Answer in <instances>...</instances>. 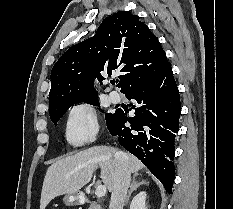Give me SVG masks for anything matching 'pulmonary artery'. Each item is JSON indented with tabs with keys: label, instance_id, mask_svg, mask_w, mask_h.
Returning a JSON list of instances; mask_svg holds the SVG:
<instances>
[{
	"label": "pulmonary artery",
	"instance_id": "e3ab8cb5",
	"mask_svg": "<svg viewBox=\"0 0 233 209\" xmlns=\"http://www.w3.org/2000/svg\"><path fill=\"white\" fill-rule=\"evenodd\" d=\"M109 98L113 103H119L121 101V96L118 92L112 91L109 93Z\"/></svg>",
	"mask_w": 233,
	"mask_h": 209
}]
</instances>
